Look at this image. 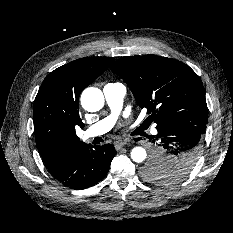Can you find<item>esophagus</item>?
Wrapping results in <instances>:
<instances>
[{"instance_id":"1","label":"esophagus","mask_w":233,"mask_h":233,"mask_svg":"<svg viewBox=\"0 0 233 233\" xmlns=\"http://www.w3.org/2000/svg\"><path fill=\"white\" fill-rule=\"evenodd\" d=\"M127 140L126 139H122V140H118V141H116L115 143H114V146H115V149L116 150H120L124 145H126L127 144Z\"/></svg>"}]
</instances>
